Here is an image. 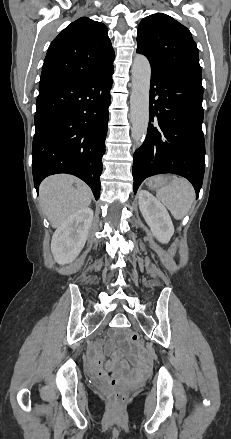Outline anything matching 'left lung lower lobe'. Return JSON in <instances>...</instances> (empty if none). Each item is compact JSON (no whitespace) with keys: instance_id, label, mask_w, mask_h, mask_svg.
<instances>
[{"instance_id":"left-lung-lower-lobe-1","label":"left lung lower lobe","mask_w":231,"mask_h":439,"mask_svg":"<svg viewBox=\"0 0 231 439\" xmlns=\"http://www.w3.org/2000/svg\"><path fill=\"white\" fill-rule=\"evenodd\" d=\"M202 99L201 78L151 72L147 136L133 156L135 193L147 177L173 173L187 178L199 195L205 169Z\"/></svg>"}]
</instances>
